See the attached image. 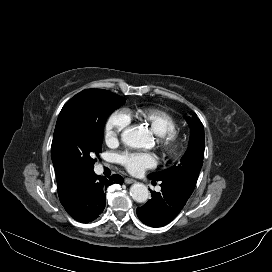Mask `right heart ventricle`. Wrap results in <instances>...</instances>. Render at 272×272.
<instances>
[{
  "instance_id": "right-heart-ventricle-1",
  "label": "right heart ventricle",
  "mask_w": 272,
  "mask_h": 272,
  "mask_svg": "<svg viewBox=\"0 0 272 272\" xmlns=\"http://www.w3.org/2000/svg\"><path fill=\"white\" fill-rule=\"evenodd\" d=\"M130 119L145 122L156 135L176 131L179 127L177 120L170 114L153 108L142 109L137 112L126 111Z\"/></svg>"
}]
</instances>
